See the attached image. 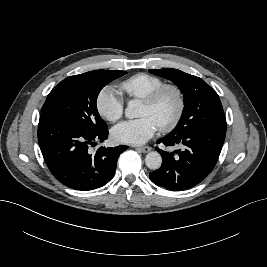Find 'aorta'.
<instances>
[{
  "label": "aorta",
  "instance_id": "762f6f07",
  "mask_svg": "<svg viewBox=\"0 0 267 267\" xmlns=\"http://www.w3.org/2000/svg\"><path fill=\"white\" fill-rule=\"evenodd\" d=\"M141 103L139 100H131L128 102V105L125 109V115L127 118L133 119L139 116V108ZM146 166L151 170H157L161 167L162 157L156 152L152 151L146 155L145 158Z\"/></svg>",
  "mask_w": 267,
  "mask_h": 267
}]
</instances>
